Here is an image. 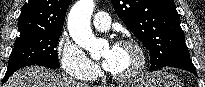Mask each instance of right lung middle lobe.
<instances>
[{
    "mask_svg": "<svg viewBox=\"0 0 205 87\" xmlns=\"http://www.w3.org/2000/svg\"><path fill=\"white\" fill-rule=\"evenodd\" d=\"M61 30L23 31L15 41L8 66L17 63H28L48 68H59L57 51L55 50Z\"/></svg>",
    "mask_w": 205,
    "mask_h": 87,
    "instance_id": "1",
    "label": "right lung middle lobe"
}]
</instances>
